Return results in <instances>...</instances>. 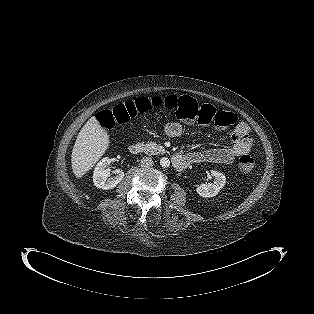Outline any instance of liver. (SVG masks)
Returning <instances> with one entry per match:
<instances>
[{
    "instance_id": "1",
    "label": "liver",
    "mask_w": 314,
    "mask_h": 314,
    "mask_svg": "<svg viewBox=\"0 0 314 314\" xmlns=\"http://www.w3.org/2000/svg\"><path fill=\"white\" fill-rule=\"evenodd\" d=\"M107 131L95 117H91L79 132L71 156V165L76 178H81L92 169L109 148Z\"/></svg>"
}]
</instances>
